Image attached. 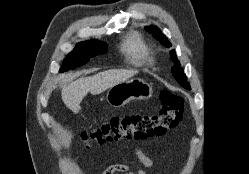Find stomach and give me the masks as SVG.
<instances>
[{
	"mask_svg": "<svg viewBox=\"0 0 249 174\" xmlns=\"http://www.w3.org/2000/svg\"><path fill=\"white\" fill-rule=\"evenodd\" d=\"M151 96L152 87L143 79L134 78L110 87L106 100L113 107H122L131 100H143Z\"/></svg>",
	"mask_w": 249,
	"mask_h": 174,
	"instance_id": "obj_1",
	"label": "stomach"
}]
</instances>
